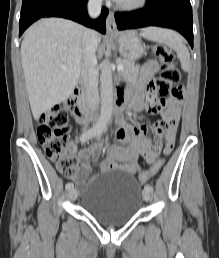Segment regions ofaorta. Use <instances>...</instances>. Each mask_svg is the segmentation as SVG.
Wrapping results in <instances>:
<instances>
[{
  "label": "aorta",
  "instance_id": "obj_1",
  "mask_svg": "<svg viewBox=\"0 0 219 258\" xmlns=\"http://www.w3.org/2000/svg\"><path fill=\"white\" fill-rule=\"evenodd\" d=\"M101 68V111L96 128L103 131L106 129L113 113V82L112 70L108 60H104Z\"/></svg>",
  "mask_w": 219,
  "mask_h": 258
}]
</instances>
